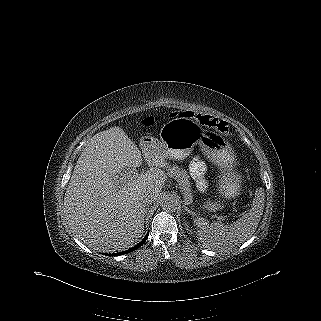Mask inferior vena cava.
Wrapping results in <instances>:
<instances>
[{
	"mask_svg": "<svg viewBox=\"0 0 321 321\" xmlns=\"http://www.w3.org/2000/svg\"><path fill=\"white\" fill-rule=\"evenodd\" d=\"M154 200L155 196L150 190H144L140 196V201L144 206H149Z\"/></svg>",
	"mask_w": 321,
	"mask_h": 321,
	"instance_id": "602c4592",
	"label": "inferior vena cava"
}]
</instances>
